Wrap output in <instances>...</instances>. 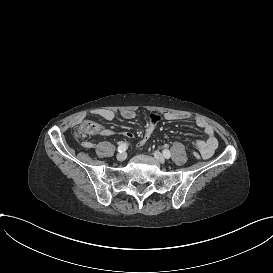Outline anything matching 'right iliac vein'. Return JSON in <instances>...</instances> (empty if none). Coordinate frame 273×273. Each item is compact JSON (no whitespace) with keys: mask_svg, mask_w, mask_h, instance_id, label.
I'll use <instances>...</instances> for the list:
<instances>
[{"mask_svg":"<svg viewBox=\"0 0 273 273\" xmlns=\"http://www.w3.org/2000/svg\"><path fill=\"white\" fill-rule=\"evenodd\" d=\"M116 158L118 161L122 162L127 158V154L124 152L119 153V154H117Z\"/></svg>","mask_w":273,"mask_h":273,"instance_id":"1","label":"right iliac vein"}]
</instances>
